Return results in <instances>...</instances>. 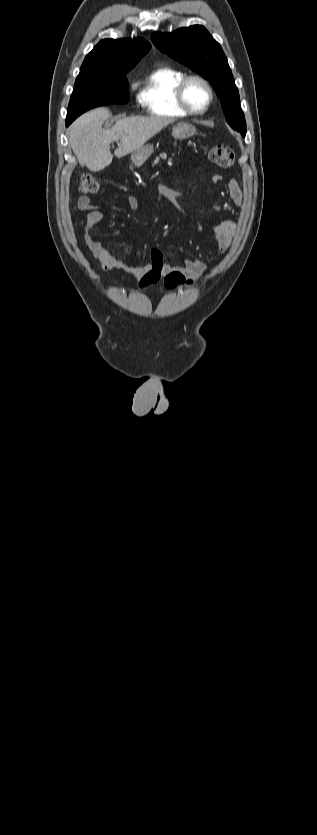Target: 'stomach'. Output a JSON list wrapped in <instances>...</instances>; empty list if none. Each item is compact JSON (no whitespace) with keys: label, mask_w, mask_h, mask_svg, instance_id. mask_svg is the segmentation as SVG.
<instances>
[{"label":"stomach","mask_w":317,"mask_h":835,"mask_svg":"<svg viewBox=\"0 0 317 835\" xmlns=\"http://www.w3.org/2000/svg\"><path fill=\"white\" fill-rule=\"evenodd\" d=\"M196 134V128L189 123H178L172 128V135L176 139H189ZM154 152L151 144L143 145L138 151L132 154L131 160L135 165L143 164Z\"/></svg>","instance_id":"1"}]
</instances>
